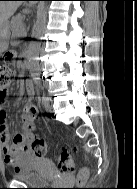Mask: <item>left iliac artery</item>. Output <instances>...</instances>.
I'll return each instance as SVG.
<instances>
[{
	"mask_svg": "<svg viewBox=\"0 0 137 189\" xmlns=\"http://www.w3.org/2000/svg\"><path fill=\"white\" fill-rule=\"evenodd\" d=\"M42 100H43L44 102H46V101H48V100H49V98H48V97H46L45 95H43Z\"/></svg>",
	"mask_w": 137,
	"mask_h": 189,
	"instance_id": "44dca946",
	"label": "left iliac artery"
}]
</instances>
